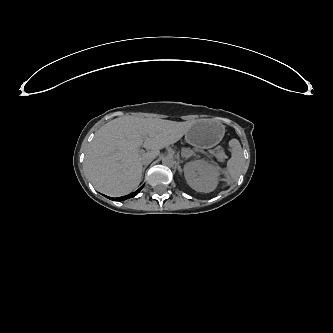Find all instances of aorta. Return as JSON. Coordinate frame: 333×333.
<instances>
[{
    "label": "aorta",
    "instance_id": "1",
    "mask_svg": "<svg viewBox=\"0 0 333 333\" xmlns=\"http://www.w3.org/2000/svg\"><path fill=\"white\" fill-rule=\"evenodd\" d=\"M162 164L166 167H173L175 164V159L173 155L168 154L162 158Z\"/></svg>",
    "mask_w": 333,
    "mask_h": 333
}]
</instances>
